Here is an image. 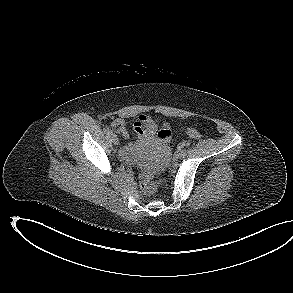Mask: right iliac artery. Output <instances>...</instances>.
<instances>
[{"label": "right iliac artery", "mask_w": 293, "mask_h": 293, "mask_svg": "<svg viewBox=\"0 0 293 293\" xmlns=\"http://www.w3.org/2000/svg\"><path fill=\"white\" fill-rule=\"evenodd\" d=\"M104 132H106L107 134H113V132L109 129V127H105Z\"/></svg>", "instance_id": "obj_1"}]
</instances>
